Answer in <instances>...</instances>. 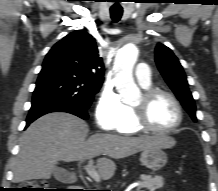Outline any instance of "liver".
I'll list each match as a JSON object with an SVG mask.
<instances>
[{
	"instance_id": "1",
	"label": "liver",
	"mask_w": 218,
	"mask_h": 191,
	"mask_svg": "<svg viewBox=\"0 0 218 191\" xmlns=\"http://www.w3.org/2000/svg\"><path fill=\"white\" fill-rule=\"evenodd\" d=\"M88 125L67 113H50L33 122L20 139V151L15 159L13 181L49 179L60 161L87 160L103 154L110 158H125L150 147L171 148L175 140L165 134L125 137L94 134L86 139ZM97 169L103 180L116 170L109 158H99Z\"/></svg>"
}]
</instances>
